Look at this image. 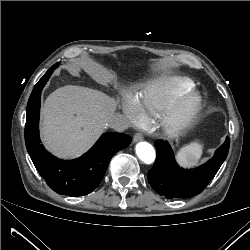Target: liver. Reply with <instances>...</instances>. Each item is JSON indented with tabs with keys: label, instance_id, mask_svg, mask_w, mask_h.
<instances>
[{
	"label": "liver",
	"instance_id": "6515ba94",
	"mask_svg": "<svg viewBox=\"0 0 250 250\" xmlns=\"http://www.w3.org/2000/svg\"><path fill=\"white\" fill-rule=\"evenodd\" d=\"M116 107L115 100L101 91L75 85L60 87L43 105V143L58 157H77L99 138Z\"/></svg>",
	"mask_w": 250,
	"mask_h": 250
}]
</instances>
